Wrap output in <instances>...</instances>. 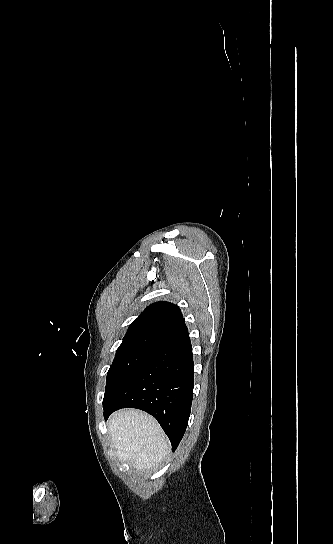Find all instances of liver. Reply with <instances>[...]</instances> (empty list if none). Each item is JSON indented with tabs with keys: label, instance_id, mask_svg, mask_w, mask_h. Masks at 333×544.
Instances as JSON below:
<instances>
[{
	"label": "liver",
	"instance_id": "1",
	"mask_svg": "<svg viewBox=\"0 0 333 544\" xmlns=\"http://www.w3.org/2000/svg\"><path fill=\"white\" fill-rule=\"evenodd\" d=\"M108 429L118 458L134 468H147L166 458L168 439L148 414L135 409L117 411L109 418Z\"/></svg>",
	"mask_w": 333,
	"mask_h": 544
}]
</instances>
